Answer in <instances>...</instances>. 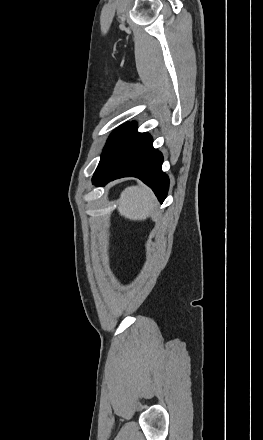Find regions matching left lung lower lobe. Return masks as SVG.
<instances>
[{"label": "left lung lower lobe", "instance_id": "obj_1", "mask_svg": "<svg viewBox=\"0 0 263 440\" xmlns=\"http://www.w3.org/2000/svg\"><path fill=\"white\" fill-rule=\"evenodd\" d=\"M162 154L153 148L152 137L139 133L136 123L126 128L105 167L94 173L93 184L102 186L121 177H137L152 188L162 203L166 198L169 179L162 171Z\"/></svg>", "mask_w": 263, "mask_h": 440}]
</instances>
